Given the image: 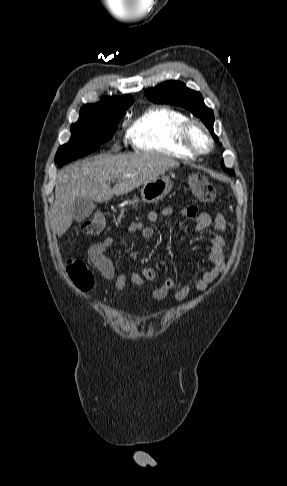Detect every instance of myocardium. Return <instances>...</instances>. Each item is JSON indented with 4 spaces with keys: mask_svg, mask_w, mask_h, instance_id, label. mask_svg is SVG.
<instances>
[{
    "mask_svg": "<svg viewBox=\"0 0 287 486\" xmlns=\"http://www.w3.org/2000/svg\"><path fill=\"white\" fill-rule=\"evenodd\" d=\"M194 130H198L206 139L208 145L205 148L197 146L192 138ZM181 144L185 149L194 155H204L209 153L214 147V140L205 125L196 119H188L181 127L179 133Z\"/></svg>",
    "mask_w": 287,
    "mask_h": 486,
    "instance_id": "f54148a6",
    "label": "myocardium"
}]
</instances>
